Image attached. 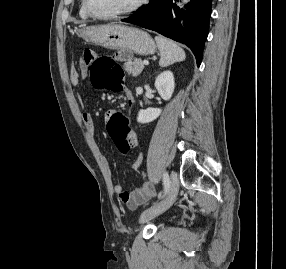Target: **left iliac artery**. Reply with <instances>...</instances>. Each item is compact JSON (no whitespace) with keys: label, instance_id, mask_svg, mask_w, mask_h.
<instances>
[{"label":"left iliac artery","instance_id":"1","mask_svg":"<svg viewBox=\"0 0 286 269\" xmlns=\"http://www.w3.org/2000/svg\"><path fill=\"white\" fill-rule=\"evenodd\" d=\"M163 185H164V193L166 194L170 187V179L167 172H164L163 174Z\"/></svg>","mask_w":286,"mask_h":269}]
</instances>
